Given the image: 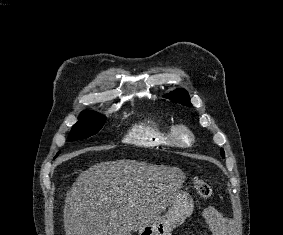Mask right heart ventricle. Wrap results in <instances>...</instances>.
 <instances>
[{
    "instance_id": "1",
    "label": "right heart ventricle",
    "mask_w": 283,
    "mask_h": 235,
    "mask_svg": "<svg viewBox=\"0 0 283 235\" xmlns=\"http://www.w3.org/2000/svg\"><path fill=\"white\" fill-rule=\"evenodd\" d=\"M172 126L157 119H148L133 126L126 140L136 146L157 149L172 147L174 143L171 136Z\"/></svg>"
}]
</instances>
